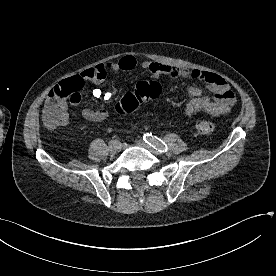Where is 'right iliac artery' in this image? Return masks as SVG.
Listing matches in <instances>:
<instances>
[{
	"mask_svg": "<svg viewBox=\"0 0 276 276\" xmlns=\"http://www.w3.org/2000/svg\"><path fill=\"white\" fill-rule=\"evenodd\" d=\"M109 145H121V143L119 142V140L117 139H112L110 142H109Z\"/></svg>",
	"mask_w": 276,
	"mask_h": 276,
	"instance_id": "82829eb1",
	"label": "right iliac artery"
}]
</instances>
